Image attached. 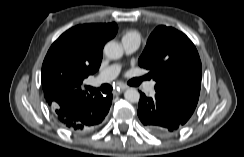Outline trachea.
Segmentation results:
<instances>
[{
	"mask_svg": "<svg viewBox=\"0 0 244 157\" xmlns=\"http://www.w3.org/2000/svg\"><path fill=\"white\" fill-rule=\"evenodd\" d=\"M145 79H146V77H142V78H140L138 81L141 82V81H143V80H145ZM100 90H101L104 94H106V93H109V92L112 91V87H111L109 84H104V85H102V86H101L100 88H98V89L89 87V91H90L91 94H95L96 92H98V91H100Z\"/></svg>",
	"mask_w": 244,
	"mask_h": 157,
	"instance_id": "1",
	"label": "trachea"
}]
</instances>
